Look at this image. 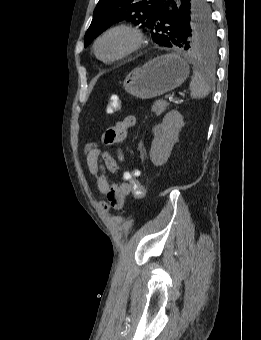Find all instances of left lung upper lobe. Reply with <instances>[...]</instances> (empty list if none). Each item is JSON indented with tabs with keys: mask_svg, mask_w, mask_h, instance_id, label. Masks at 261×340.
<instances>
[{
	"mask_svg": "<svg viewBox=\"0 0 261 340\" xmlns=\"http://www.w3.org/2000/svg\"><path fill=\"white\" fill-rule=\"evenodd\" d=\"M166 0H99L84 36L85 47L113 23L128 20L149 27L160 46L179 47L194 53L213 54L216 34L206 0H194L188 16L173 26L160 15ZM173 41V45L171 42Z\"/></svg>",
	"mask_w": 261,
	"mask_h": 340,
	"instance_id": "left-lung-upper-lobe-1",
	"label": "left lung upper lobe"
}]
</instances>
